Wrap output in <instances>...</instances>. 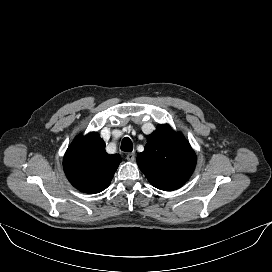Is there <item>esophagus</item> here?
I'll use <instances>...</instances> for the list:
<instances>
[{
  "instance_id": "34e87169",
  "label": "esophagus",
  "mask_w": 272,
  "mask_h": 272,
  "mask_svg": "<svg viewBox=\"0 0 272 272\" xmlns=\"http://www.w3.org/2000/svg\"><path fill=\"white\" fill-rule=\"evenodd\" d=\"M126 159L128 161H134L135 160V152H130L126 155Z\"/></svg>"
}]
</instances>
